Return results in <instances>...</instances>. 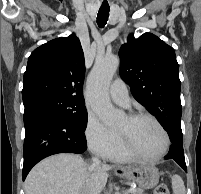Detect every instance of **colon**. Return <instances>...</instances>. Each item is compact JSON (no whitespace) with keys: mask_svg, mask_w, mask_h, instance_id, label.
Here are the masks:
<instances>
[{"mask_svg":"<svg viewBox=\"0 0 201 194\" xmlns=\"http://www.w3.org/2000/svg\"><path fill=\"white\" fill-rule=\"evenodd\" d=\"M154 194H170L168 187L165 184L157 186L154 191Z\"/></svg>","mask_w":201,"mask_h":194,"instance_id":"obj_1","label":"colon"}]
</instances>
